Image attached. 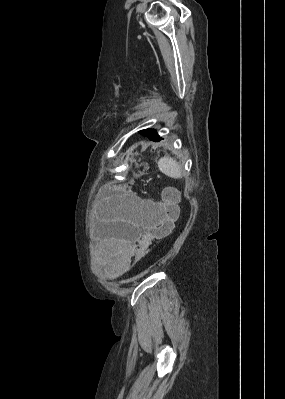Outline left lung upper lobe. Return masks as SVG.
<instances>
[{"label":"left lung upper lobe","instance_id":"obj_1","mask_svg":"<svg viewBox=\"0 0 285 399\" xmlns=\"http://www.w3.org/2000/svg\"><path fill=\"white\" fill-rule=\"evenodd\" d=\"M144 135H158L155 129H146L139 132Z\"/></svg>","mask_w":285,"mask_h":399}]
</instances>
